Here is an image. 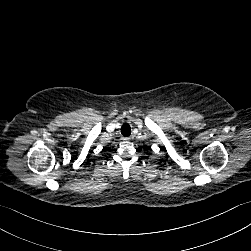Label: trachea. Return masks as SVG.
Wrapping results in <instances>:
<instances>
[{
  "label": "trachea",
  "instance_id": "3493384b",
  "mask_svg": "<svg viewBox=\"0 0 251 251\" xmlns=\"http://www.w3.org/2000/svg\"><path fill=\"white\" fill-rule=\"evenodd\" d=\"M121 133L123 136L128 137L131 134V127L128 123H124L121 127Z\"/></svg>",
  "mask_w": 251,
  "mask_h": 251
}]
</instances>
